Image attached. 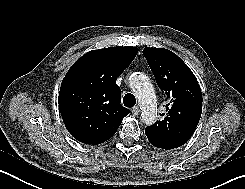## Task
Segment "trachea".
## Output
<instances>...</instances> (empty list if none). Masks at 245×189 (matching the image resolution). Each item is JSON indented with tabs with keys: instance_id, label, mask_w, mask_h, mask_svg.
I'll use <instances>...</instances> for the list:
<instances>
[{
	"instance_id": "1",
	"label": "trachea",
	"mask_w": 245,
	"mask_h": 189,
	"mask_svg": "<svg viewBox=\"0 0 245 189\" xmlns=\"http://www.w3.org/2000/svg\"><path fill=\"white\" fill-rule=\"evenodd\" d=\"M124 106L131 108L136 104V99L133 94L128 93L123 98Z\"/></svg>"
}]
</instances>
